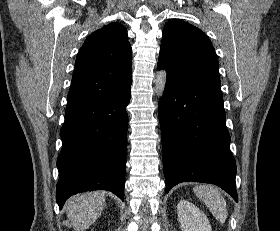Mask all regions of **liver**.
Returning <instances> with one entry per match:
<instances>
[{
    "mask_svg": "<svg viewBox=\"0 0 280 231\" xmlns=\"http://www.w3.org/2000/svg\"><path fill=\"white\" fill-rule=\"evenodd\" d=\"M105 207L104 191L77 193L67 201L68 217L73 221L76 231H84L101 215Z\"/></svg>",
    "mask_w": 280,
    "mask_h": 231,
    "instance_id": "liver-1",
    "label": "liver"
}]
</instances>
